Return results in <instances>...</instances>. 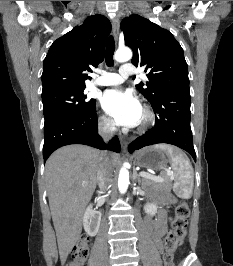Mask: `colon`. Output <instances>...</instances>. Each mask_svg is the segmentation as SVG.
I'll use <instances>...</instances> for the list:
<instances>
[{
  "label": "colon",
  "mask_w": 233,
  "mask_h": 266,
  "mask_svg": "<svg viewBox=\"0 0 233 266\" xmlns=\"http://www.w3.org/2000/svg\"><path fill=\"white\" fill-rule=\"evenodd\" d=\"M190 214L189 206L186 202H180L174 209V214L170 218V230L165 238V266H174V254L178 250L186 237L188 217ZM88 255V239L82 236L72 251V260L66 266H84L85 259Z\"/></svg>",
  "instance_id": "1"
}]
</instances>
